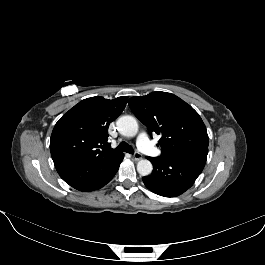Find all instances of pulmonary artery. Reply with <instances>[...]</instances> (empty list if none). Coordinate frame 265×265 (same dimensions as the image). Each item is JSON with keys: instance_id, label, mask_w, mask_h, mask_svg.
Listing matches in <instances>:
<instances>
[{"instance_id": "pulmonary-artery-1", "label": "pulmonary artery", "mask_w": 265, "mask_h": 265, "mask_svg": "<svg viewBox=\"0 0 265 265\" xmlns=\"http://www.w3.org/2000/svg\"><path fill=\"white\" fill-rule=\"evenodd\" d=\"M137 144L139 148L145 153H147L149 156L159 155V151L151 144L145 133H141L138 136Z\"/></svg>"}]
</instances>
